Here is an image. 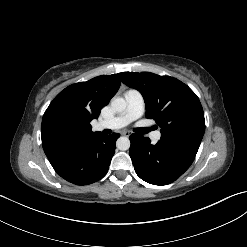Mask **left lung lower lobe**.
I'll use <instances>...</instances> for the list:
<instances>
[{"instance_id": "left-lung-lower-lobe-1", "label": "left lung lower lobe", "mask_w": 247, "mask_h": 247, "mask_svg": "<svg viewBox=\"0 0 247 247\" xmlns=\"http://www.w3.org/2000/svg\"><path fill=\"white\" fill-rule=\"evenodd\" d=\"M129 150L137 175L154 185H167L178 179L196 155L162 140L151 144L149 138L132 134Z\"/></svg>"}]
</instances>
